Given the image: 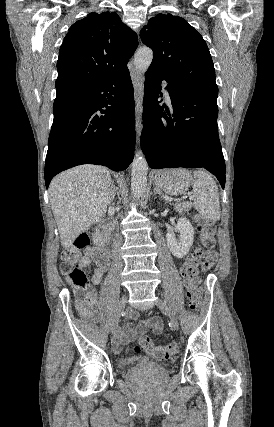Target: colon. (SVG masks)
<instances>
[{
    "mask_svg": "<svg viewBox=\"0 0 274 427\" xmlns=\"http://www.w3.org/2000/svg\"><path fill=\"white\" fill-rule=\"evenodd\" d=\"M200 224V242L198 248L192 257L184 264L181 269V276L187 288L189 298V309L192 312L198 311L200 302L203 300V289L201 287L198 269L202 254H205L206 248H215L216 226L209 220L199 219ZM70 242L76 248H71L65 252L62 272L68 275L70 281L75 287L78 296H85L89 289V278L86 271L76 265L79 258L78 249L88 248L91 245V238L83 229H76L70 235ZM138 354H149L158 360H167L173 357L178 351V344L171 342L166 345L158 346L153 344L148 338L142 337L135 347Z\"/></svg>",
    "mask_w": 274,
    "mask_h": 427,
    "instance_id": "obj_1",
    "label": "colon"
}]
</instances>
